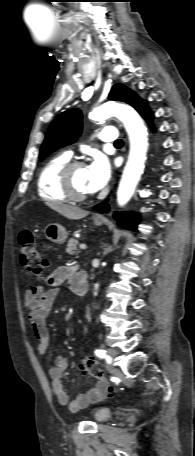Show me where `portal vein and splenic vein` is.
<instances>
[{"mask_svg": "<svg viewBox=\"0 0 195 456\" xmlns=\"http://www.w3.org/2000/svg\"><path fill=\"white\" fill-rule=\"evenodd\" d=\"M79 248L82 249V250H84V249L87 248V246H86L85 244H80Z\"/></svg>", "mask_w": 195, "mask_h": 456, "instance_id": "18ae733b", "label": "portal vein and splenic vein"}]
</instances>
